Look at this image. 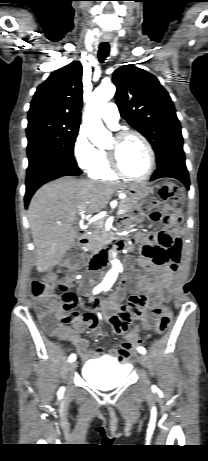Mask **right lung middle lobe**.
I'll list each match as a JSON object with an SVG mask.
<instances>
[{
	"instance_id": "obj_1",
	"label": "right lung middle lobe",
	"mask_w": 208,
	"mask_h": 461,
	"mask_svg": "<svg viewBox=\"0 0 208 461\" xmlns=\"http://www.w3.org/2000/svg\"><path fill=\"white\" fill-rule=\"evenodd\" d=\"M79 124L63 119L28 118V167L47 158H59L77 165L73 148Z\"/></svg>"
}]
</instances>
